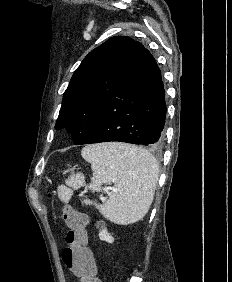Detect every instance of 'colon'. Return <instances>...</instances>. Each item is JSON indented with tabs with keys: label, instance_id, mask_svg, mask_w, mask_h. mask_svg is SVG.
<instances>
[{
	"label": "colon",
	"instance_id": "1",
	"mask_svg": "<svg viewBox=\"0 0 232 282\" xmlns=\"http://www.w3.org/2000/svg\"><path fill=\"white\" fill-rule=\"evenodd\" d=\"M62 216L68 227L67 246L62 252L64 263L80 278V282H102L96 276L94 258L87 246V216L70 206L63 207Z\"/></svg>",
	"mask_w": 232,
	"mask_h": 282
}]
</instances>
